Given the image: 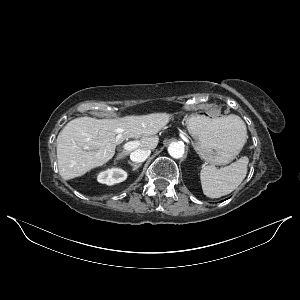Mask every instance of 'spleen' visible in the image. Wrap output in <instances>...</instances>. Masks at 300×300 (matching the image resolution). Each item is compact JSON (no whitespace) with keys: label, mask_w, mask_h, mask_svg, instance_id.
Masks as SVG:
<instances>
[{"label":"spleen","mask_w":300,"mask_h":300,"mask_svg":"<svg viewBox=\"0 0 300 300\" xmlns=\"http://www.w3.org/2000/svg\"><path fill=\"white\" fill-rule=\"evenodd\" d=\"M229 119L243 133L245 142L247 130L244 121L237 115H232ZM248 162V157L243 156L231 165L220 169H217L214 165L203 167L200 173L203 193L210 198H219L234 191L246 177Z\"/></svg>","instance_id":"spleen-1"}]
</instances>
